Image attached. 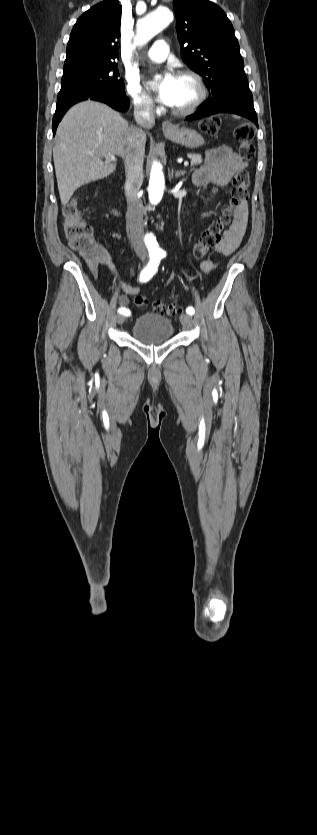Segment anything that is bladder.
Wrapping results in <instances>:
<instances>
[{"label":"bladder","mask_w":317,"mask_h":835,"mask_svg":"<svg viewBox=\"0 0 317 835\" xmlns=\"http://www.w3.org/2000/svg\"><path fill=\"white\" fill-rule=\"evenodd\" d=\"M131 334L133 339L143 344H159L173 338L174 326L164 315L146 313L135 320Z\"/></svg>","instance_id":"obj_1"}]
</instances>
